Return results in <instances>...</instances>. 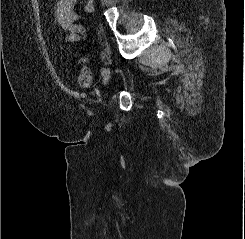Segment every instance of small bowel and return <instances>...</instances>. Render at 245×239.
Returning <instances> with one entry per match:
<instances>
[{
  "mask_svg": "<svg viewBox=\"0 0 245 239\" xmlns=\"http://www.w3.org/2000/svg\"><path fill=\"white\" fill-rule=\"evenodd\" d=\"M94 9V0H87L85 11L91 12ZM57 23L64 30L71 33V38L75 39L81 32V27L77 24L79 15L77 13V0H59L55 9Z\"/></svg>",
  "mask_w": 245,
  "mask_h": 239,
  "instance_id": "c3829d8e",
  "label": "small bowel"
}]
</instances>
